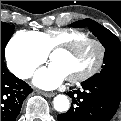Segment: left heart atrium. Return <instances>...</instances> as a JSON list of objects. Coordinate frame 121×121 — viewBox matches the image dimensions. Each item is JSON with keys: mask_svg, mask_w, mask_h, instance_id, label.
Masks as SVG:
<instances>
[{"mask_svg": "<svg viewBox=\"0 0 121 121\" xmlns=\"http://www.w3.org/2000/svg\"><path fill=\"white\" fill-rule=\"evenodd\" d=\"M64 80V74L54 65L40 69L34 77V83L44 89H55Z\"/></svg>", "mask_w": 121, "mask_h": 121, "instance_id": "39dd6f15", "label": "left heart atrium"}]
</instances>
